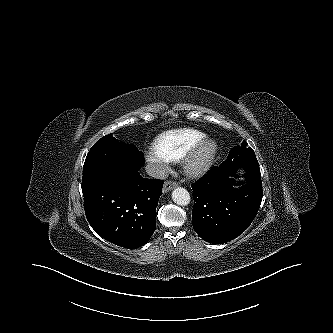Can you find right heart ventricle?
<instances>
[{
  "label": "right heart ventricle",
  "mask_w": 333,
  "mask_h": 333,
  "mask_svg": "<svg viewBox=\"0 0 333 333\" xmlns=\"http://www.w3.org/2000/svg\"><path fill=\"white\" fill-rule=\"evenodd\" d=\"M206 135L198 130L185 128L164 132L154 142V151L170 162L183 159Z\"/></svg>",
  "instance_id": "e07e8e85"
}]
</instances>
